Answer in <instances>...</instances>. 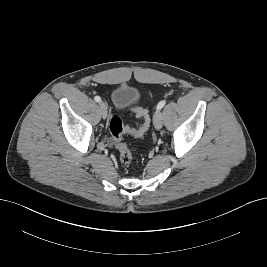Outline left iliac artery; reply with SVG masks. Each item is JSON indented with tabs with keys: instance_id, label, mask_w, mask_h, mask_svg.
I'll use <instances>...</instances> for the list:
<instances>
[{
	"instance_id": "obj_1",
	"label": "left iliac artery",
	"mask_w": 267,
	"mask_h": 267,
	"mask_svg": "<svg viewBox=\"0 0 267 267\" xmlns=\"http://www.w3.org/2000/svg\"><path fill=\"white\" fill-rule=\"evenodd\" d=\"M166 104V101L165 100H162L158 103L157 105V110H160L164 107V105Z\"/></svg>"
}]
</instances>
